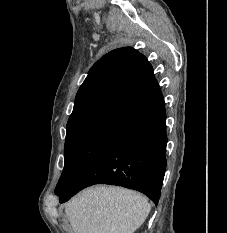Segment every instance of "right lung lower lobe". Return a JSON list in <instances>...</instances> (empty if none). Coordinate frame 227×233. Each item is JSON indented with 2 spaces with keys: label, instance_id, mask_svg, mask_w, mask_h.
Returning <instances> with one entry per match:
<instances>
[{
  "label": "right lung lower lobe",
  "instance_id": "right-lung-lower-lobe-1",
  "mask_svg": "<svg viewBox=\"0 0 227 233\" xmlns=\"http://www.w3.org/2000/svg\"><path fill=\"white\" fill-rule=\"evenodd\" d=\"M165 107L118 133L67 189L56 192L66 202L81 189L111 184L140 191L156 205L166 169Z\"/></svg>",
  "mask_w": 227,
  "mask_h": 233
}]
</instances>
